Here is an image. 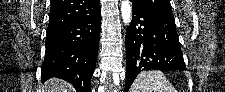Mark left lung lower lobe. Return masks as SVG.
I'll return each instance as SVG.
<instances>
[{
    "label": "left lung lower lobe",
    "mask_w": 225,
    "mask_h": 92,
    "mask_svg": "<svg viewBox=\"0 0 225 92\" xmlns=\"http://www.w3.org/2000/svg\"><path fill=\"white\" fill-rule=\"evenodd\" d=\"M126 31V82L128 92L137 75L146 70H186L173 17L132 5Z\"/></svg>",
    "instance_id": "0a47b994"
}]
</instances>
